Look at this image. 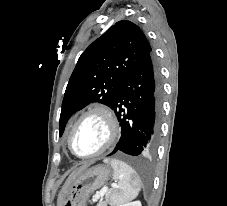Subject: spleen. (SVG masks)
<instances>
[{"label": "spleen", "instance_id": "3e777b00", "mask_svg": "<svg viewBox=\"0 0 227 206\" xmlns=\"http://www.w3.org/2000/svg\"><path fill=\"white\" fill-rule=\"evenodd\" d=\"M113 168V179L118 181V185L111 189L107 199L111 206H120L137 197L141 189V180L136 171L117 159L105 160Z\"/></svg>", "mask_w": 227, "mask_h": 206}]
</instances>
